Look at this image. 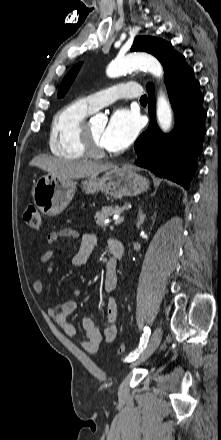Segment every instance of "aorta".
<instances>
[{
    "instance_id": "obj_1",
    "label": "aorta",
    "mask_w": 221,
    "mask_h": 440,
    "mask_svg": "<svg viewBox=\"0 0 221 440\" xmlns=\"http://www.w3.org/2000/svg\"><path fill=\"white\" fill-rule=\"evenodd\" d=\"M145 68L155 77L162 78L164 71L160 62L147 53H131L122 58H116L107 68L111 78L119 77L130 70ZM156 115L158 124L163 132H168L172 124V109L169 100L163 93L157 98Z\"/></svg>"
}]
</instances>
